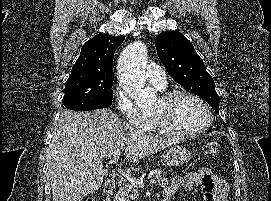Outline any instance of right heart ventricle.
Segmentation results:
<instances>
[{
  "mask_svg": "<svg viewBox=\"0 0 271 201\" xmlns=\"http://www.w3.org/2000/svg\"><path fill=\"white\" fill-rule=\"evenodd\" d=\"M145 130L149 133H154L157 135L171 136L158 124L155 118L151 119L149 125L145 128Z\"/></svg>",
  "mask_w": 271,
  "mask_h": 201,
  "instance_id": "e07e8e85",
  "label": "right heart ventricle"
}]
</instances>
